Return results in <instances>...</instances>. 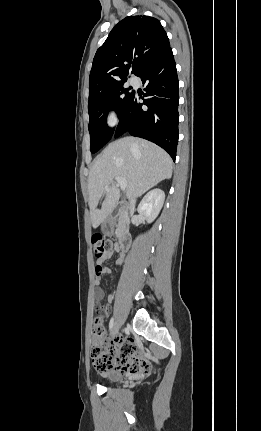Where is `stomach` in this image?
Masks as SVG:
<instances>
[{
  "mask_svg": "<svg viewBox=\"0 0 261 431\" xmlns=\"http://www.w3.org/2000/svg\"><path fill=\"white\" fill-rule=\"evenodd\" d=\"M102 232L107 235L111 236L114 233V221L113 220H106L101 225Z\"/></svg>",
  "mask_w": 261,
  "mask_h": 431,
  "instance_id": "1",
  "label": "stomach"
}]
</instances>
